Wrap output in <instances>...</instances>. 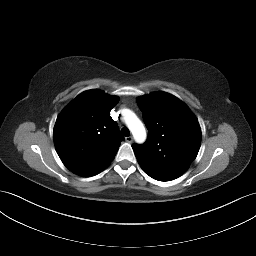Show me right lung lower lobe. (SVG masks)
<instances>
[{"label":"right lung lower lobe","mask_w":256,"mask_h":256,"mask_svg":"<svg viewBox=\"0 0 256 256\" xmlns=\"http://www.w3.org/2000/svg\"><path fill=\"white\" fill-rule=\"evenodd\" d=\"M107 167V166H106ZM106 167H103V168H100L98 170H94V171H91V172H87L85 174H82L80 176H83V177H90V176H94V175H97L98 173H100L101 171H103Z\"/></svg>","instance_id":"1"}]
</instances>
